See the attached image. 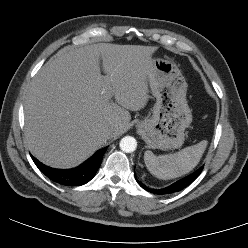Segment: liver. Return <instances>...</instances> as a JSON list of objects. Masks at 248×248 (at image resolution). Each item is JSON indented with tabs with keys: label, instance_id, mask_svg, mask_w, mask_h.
<instances>
[{
	"label": "liver",
	"instance_id": "liver-1",
	"mask_svg": "<svg viewBox=\"0 0 248 248\" xmlns=\"http://www.w3.org/2000/svg\"><path fill=\"white\" fill-rule=\"evenodd\" d=\"M157 49L99 43L59 50L26 95L25 140L31 153L48 166L72 168L126 132L129 110L138 111L148 102L147 81ZM109 127L115 131L107 137Z\"/></svg>",
	"mask_w": 248,
	"mask_h": 248
}]
</instances>
